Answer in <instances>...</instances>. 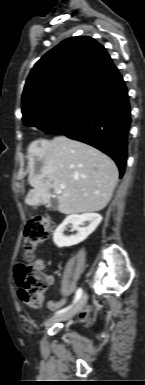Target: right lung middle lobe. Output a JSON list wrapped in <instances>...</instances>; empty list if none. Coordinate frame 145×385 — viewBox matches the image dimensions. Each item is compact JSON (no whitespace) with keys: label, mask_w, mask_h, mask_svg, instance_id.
Returning <instances> with one entry per match:
<instances>
[{"label":"right lung middle lobe","mask_w":145,"mask_h":385,"mask_svg":"<svg viewBox=\"0 0 145 385\" xmlns=\"http://www.w3.org/2000/svg\"><path fill=\"white\" fill-rule=\"evenodd\" d=\"M94 93L95 91L87 89L70 90L29 110L22 117L23 122L28 127H37L46 133H52L75 116Z\"/></svg>","instance_id":"obj_1"}]
</instances>
